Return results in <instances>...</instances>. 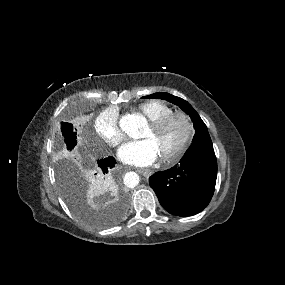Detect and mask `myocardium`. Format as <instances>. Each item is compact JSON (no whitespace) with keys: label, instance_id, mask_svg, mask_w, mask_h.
<instances>
[{"label":"myocardium","instance_id":"myocardium-1","mask_svg":"<svg viewBox=\"0 0 285 285\" xmlns=\"http://www.w3.org/2000/svg\"><path fill=\"white\" fill-rule=\"evenodd\" d=\"M174 120H180L183 123L185 132L180 143L174 150L167 153H163L161 155V159L166 163H173L179 160L188 150L195 134V127L193 121L186 113L182 111H171L162 117L151 120L149 123V125L154 130L160 131Z\"/></svg>","mask_w":285,"mask_h":285}]
</instances>
